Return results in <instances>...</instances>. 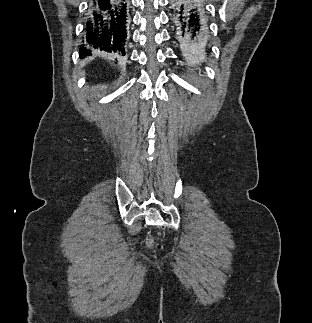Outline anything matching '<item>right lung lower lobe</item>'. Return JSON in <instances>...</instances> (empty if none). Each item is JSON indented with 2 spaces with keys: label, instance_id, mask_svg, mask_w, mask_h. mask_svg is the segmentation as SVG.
<instances>
[{
  "label": "right lung lower lobe",
  "instance_id": "98d812e1",
  "mask_svg": "<svg viewBox=\"0 0 312 323\" xmlns=\"http://www.w3.org/2000/svg\"><path fill=\"white\" fill-rule=\"evenodd\" d=\"M88 4L80 57L91 55L93 49L125 55L130 24L127 0H91Z\"/></svg>",
  "mask_w": 312,
  "mask_h": 323
}]
</instances>
